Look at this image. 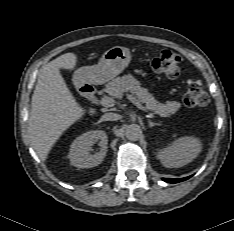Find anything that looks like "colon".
Masks as SVG:
<instances>
[{
  "mask_svg": "<svg viewBox=\"0 0 234 231\" xmlns=\"http://www.w3.org/2000/svg\"><path fill=\"white\" fill-rule=\"evenodd\" d=\"M155 72L176 78L180 72V58L170 50H164L153 58L151 63ZM209 97L199 81H190L183 97V104L187 108L204 107L208 104Z\"/></svg>",
  "mask_w": 234,
  "mask_h": 231,
  "instance_id": "colon-1",
  "label": "colon"
}]
</instances>
